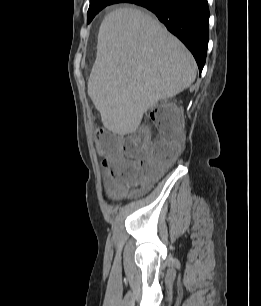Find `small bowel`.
<instances>
[{"label":"small bowel","mask_w":261,"mask_h":306,"mask_svg":"<svg viewBox=\"0 0 261 306\" xmlns=\"http://www.w3.org/2000/svg\"><path fill=\"white\" fill-rule=\"evenodd\" d=\"M125 158H122L121 160H124ZM116 162L111 161L109 158L105 159L103 161V167L106 170V172L110 175L112 167L115 165ZM133 165H136L135 162H131Z\"/></svg>","instance_id":"small-bowel-1"}]
</instances>
